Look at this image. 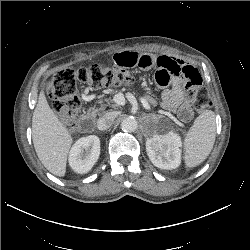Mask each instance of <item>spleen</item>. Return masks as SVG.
<instances>
[{
	"mask_svg": "<svg viewBox=\"0 0 250 250\" xmlns=\"http://www.w3.org/2000/svg\"><path fill=\"white\" fill-rule=\"evenodd\" d=\"M216 136L215 113L204 111L194 121L184 139V161L187 167H196L210 154Z\"/></svg>",
	"mask_w": 250,
	"mask_h": 250,
	"instance_id": "3e777b00",
	"label": "spleen"
}]
</instances>
